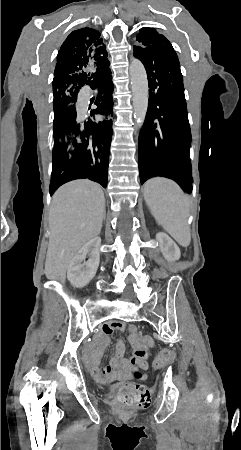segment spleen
I'll return each instance as SVG.
<instances>
[{"instance_id": "spleen-1", "label": "spleen", "mask_w": 241, "mask_h": 450, "mask_svg": "<svg viewBox=\"0 0 241 450\" xmlns=\"http://www.w3.org/2000/svg\"><path fill=\"white\" fill-rule=\"evenodd\" d=\"M144 200L158 224L187 248L191 234L187 224L189 200L180 186L167 178H152L144 184Z\"/></svg>"}]
</instances>
